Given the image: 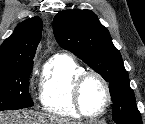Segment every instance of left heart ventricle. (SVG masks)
<instances>
[{
    "label": "left heart ventricle",
    "instance_id": "1",
    "mask_svg": "<svg viewBox=\"0 0 145 124\" xmlns=\"http://www.w3.org/2000/svg\"><path fill=\"white\" fill-rule=\"evenodd\" d=\"M105 100V91L100 82L94 78L89 79L82 91V104L85 112L88 114L100 112Z\"/></svg>",
    "mask_w": 145,
    "mask_h": 124
}]
</instances>
